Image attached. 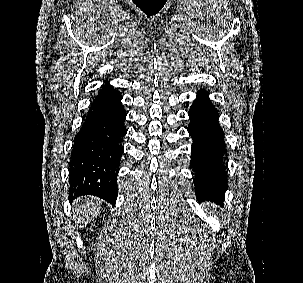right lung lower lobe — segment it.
Here are the masks:
<instances>
[{"label": "right lung lower lobe", "instance_id": "98d812e1", "mask_svg": "<svg viewBox=\"0 0 303 283\" xmlns=\"http://www.w3.org/2000/svg\"><path fill=\"white\" fill-rule=\"evenodd\" d=\"M122 95L108 81L92 102L82 128L75 136L70 162V199L94 195L116 202V169L127 133Z\"/></svg>", "mask_w": 303, "mask_h": 283}]
</instances>
